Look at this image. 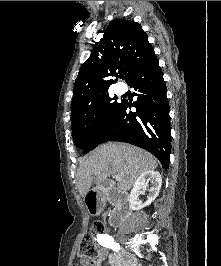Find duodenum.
<instances>
[{
  "instance_id": "1",
  "label": "duodenum",
  "mask_w": 221,
  "mask_h": 266,
  "mask_svg": "<svg viewBox=\"0 0 221 266\" xmlns=\"http://www.w3.org/2000/svg\"><path fill=\"white\" fill-rule=\"evenodd\" d=\"M85 195V203L91 216H98V213H101L100 206H104L103 200L110 196V199L117 204L116 209L109 214V223L114 227L121 226L132 213L130 198L116 190L107 191L103 187H98L88 189Z\"/></svg>"
}]
</instances>
